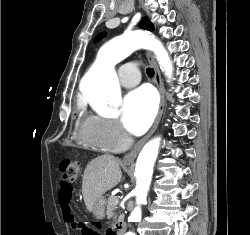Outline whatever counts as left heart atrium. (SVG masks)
Masks as SVG:
<instances>
[{
    "instance_id": "left-heart-atrium-1",
    "label": "left heart atrium",
    "mask_w": 250,
    "mask_h": 235,
    "mask_svg": "<svg viewBox=\"0 0 250 235\" xmlns=\"http://www.w3.org/2000/svg\"><path fill=\"white\" fill-rule=\"evenodd\" d=\"M156 111L157 97L154 91L147 86L139 87L123 101V124L130 133L140 135L151 125Z\"/></svg>"
}]
</instances>
